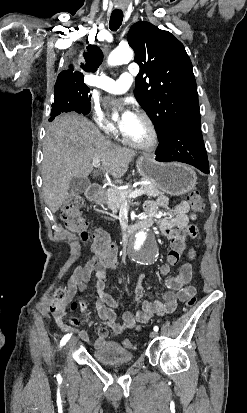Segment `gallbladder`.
Wrapping results in <instances>:
<instances>
[{
	"label": "gallbladder",
	"mask_w": 247,
	"mask_h": 413,
	"mask_svg": "<svg viewBox=\"0 0 247 413\" xmlns=\"http://www.w3.org/2000/svg\"><path fill=\"white\" fill-rule=\"evenodd\" d=\"M91 182L89 178L86 176H75L70 180V194L71 196H75V194H81V192H85L86 188L90 186Z\"/></svg>",
	"instance_id": "obj_1"
}]
</instances>
